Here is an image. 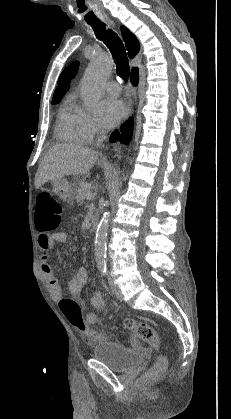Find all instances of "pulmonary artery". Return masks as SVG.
<instances>
[{
    "mask_svg": "<svg viewBox=\"0 0 231 419\" xmlns=\"http://www.w3.org/2000/svg\"><path fill=\"white\" fill-rule=\"evenodd\" d=\"M106 91L113 96H118L121 93V86L115 81H109L105 85Z\"/></svg>",
    "mask_w": 231,
    "mask_h": 419,
    "instance_id": "pulmonary-artery-1",
    "label": "pulmonary artery"
}]
</instances>
